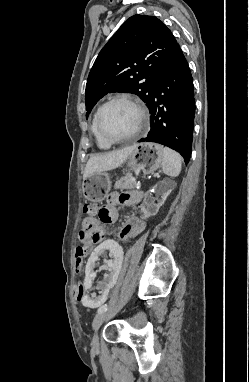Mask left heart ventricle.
I'll return each instance as SVG.
<instances>
[{"mask_svg":"<svg viewBox=\"0 0 249 382\" xmlns=\"http://www.w3.org/2000/svg\"><path fill=\"white\" fill-rule=\"evenodd\" d=\"M139 123L138 111L129 103L115 102L102 115L105 133L114 138L128 136L135 132Z\"/></svg>","mask_w":249,"mask_h":382,"instance_id":"b2bd125f","label":"left heart ventricle"}]
</instances>
